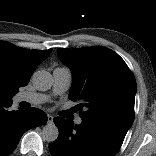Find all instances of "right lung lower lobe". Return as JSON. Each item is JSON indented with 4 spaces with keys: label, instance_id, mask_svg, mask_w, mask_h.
Here are the masks:
<instances>
[{
    "label": "right lung lower lobe",
    "instance_id": "right-lung-lower-lobe-1",
    "mask_svg": "<svg viewBox=\"0 0 156 156\" xmlns=\"http://www.w3.org/2000/svg\"><path fill=\"white\" fill-rule=\"evenodd\" d=\"M11 105L0 106V156L13 152L25 131L47 122V115L40 109L8 111Z\"/></svg>",
    "mask_w": 156,
    "mask_h": 156
}]
</instances>
